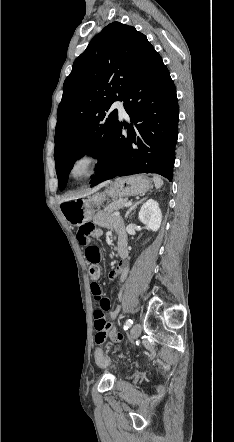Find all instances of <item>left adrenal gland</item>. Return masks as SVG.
<instances>
[{
    "label": "left adrenal gland",
    "mask_w": 234,
    "mask_h": 442,
    "mask_svg": "<svg viewBox=\"0 0 234 442\" xmlns=\"http://www.w3.org/2000/svg\"><path fill=\"white\" fill-rule=\"evenodd\" d=\"M145 199H141L140 201H138V202H136L135 204H133L130 208H129V210L126 212V214H125V218H128V215L130 214V212L132 211V210H134L142 201H144Z\"/></svg>",
    "instance_id": "1"
}]
</instances>
